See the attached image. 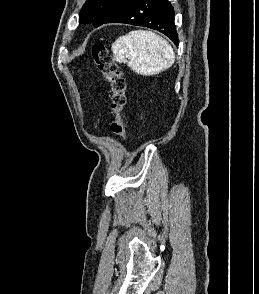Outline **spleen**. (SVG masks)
Instances as JSON below:
<instances>
[{
  "mask_svg": "<svg viewBox=\"0 0 259 294\" xmlns=\"http://www.w3.org/2000/svg\"><path fill=\"white\" fill-rule=\"evenodd\" d=\"M111 49L116 62L127 64L140 75H156L175 62L171 45L151 31H130L120 36Z\"/></svg>",
  "mask_w": 259,
  "mask_h": 294,
  "instance_id": "obj_1",
  "label": "spleen"
}]
</instances>
